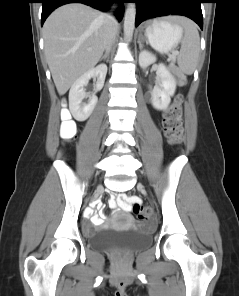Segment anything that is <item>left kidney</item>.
I'll return each mask as SVG.
<instances>
[{
	"label": "left kidney",
	"instance_id": "left-kidney-1",
	"mask_svg": "<svg viewBox=\"0 0 239 296\" xmlns=\"http://www.w3.org/2000/svg\"><path fill=\"white\" fill-rule=\"evenodd\" d=\"M156 62V56L147 50L139 54V65L146 68ZM158 82L151 91V103L157 110H165L171 102V97L175 94L176 80L164 64H159L157 69Z\"/></svg>",
	"mask_w": 239,
	"mask_h": 296
}]
</instances>
